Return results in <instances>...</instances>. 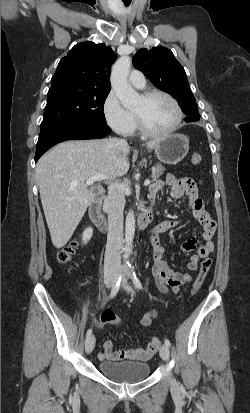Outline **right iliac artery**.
<instances>
[{"instance_id": "82829eb1", "label": "right iliac artery", "mask_w": 250, "mask_h": 413, "mask_svg": "<svg viewBox=\"0 0 250 413\" xmlns=\"http://www.w3.org/2000/svg\"><path fill=\"white\" fill-rule=\"evenodd\" d=\"M121 281H122V277H120L117 280V282L114 284V286L111 290L109 298H113L118 293V291L120 289V286H121ZM91 333H92V329L90 328V329H88V331L86 333V337H89L91 335Z\"/></svg>"}]
</instances>
